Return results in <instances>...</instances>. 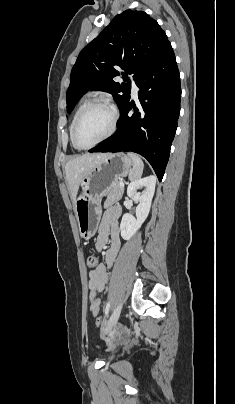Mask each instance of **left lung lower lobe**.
<instances>
[{"mask_svg":"<svg viewBox=\"0 0 235 404\" xmlns=\"http://www.w3.org/2000/svg\"><path fill=\"white\" fill-rule=\"evenodd\" d=\"M139 103L130 97L120 109L114 135L90 152L131 151L145 157L162 180L180 112V76L171 44L137 76ZM132 115H128L130 110Z\"/></svg>","mask_w":235,"mask_h":404,"instance_id":"0a47b994","label":"left lung lower lobe"}]
</instances>
